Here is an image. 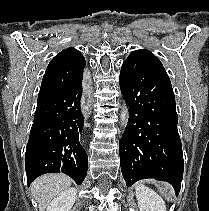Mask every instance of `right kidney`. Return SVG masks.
I'll list each match as a JSON object with an SVG mask.
<instances>
[{"label": "right kidney", "instance_id": "obj_1", "mask_svg": "<svg viewBox=\"0 0 209 211\" xmlns=\"http://www.w3.org/2000/svg\"><path fill=\"white\" fill-rule=\"evenodd\" d=\"M76 197V188H67L52 200L46 211H71Z\"/></svg>", "mask_w": 209, "mask_h": 211}]
</instances>
